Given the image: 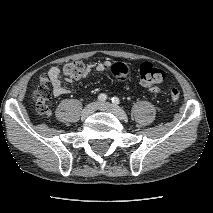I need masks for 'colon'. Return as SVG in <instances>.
<instances>
[{"mask_svg": "<svg viewBox=\"0 0 213 213\" xmlns=\"http://www.w3.org/2000/svg\"><path fill=\"white\" fill-rule=\"evenodd\" d=\"M111 72L119 81L127 80L130 76V68L122 62L112 64ZM63 73L68 78L80 79L86 74V66L81 61H71L64 65ZM138 74L141 84L147 87L156 86L162 83L165 79L164 71L150 62L142 63L139 67ZM170 97L173 101H178L180 98L179 90L172 88L170 91ZM33 98L36 102L37 111L43 116H48L50 110L47 102L50 98V91L45 79L42 78L40 80L38 88L33 93Z\"/></svg>", "mask_w": 213, "mask_h": 213, "instance_id": "5ec220e1", "label": "colon"}]
</instances>
